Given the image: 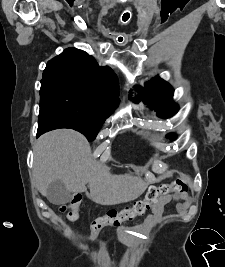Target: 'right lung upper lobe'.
Listing matches in <instances>:
<instances>
[{"label":"right lung upper lobe","mask_w":225,"mask_h":267,"mask_svg":"<svg viewBox=\"0 0 225 267\" xmlns=\"http://www.w3.org/2000/svg\"><path fill=\"white\" fill-rule=\"evenodd\" d=\"M45 81H64L84 87L112 109L119 104L118 79L112 69L100 67L92 56L76 48L65 49L48 61L41 82Z\"/></svg>","instance_id":"right-lung-upper-lobe-1"}]
</instances>
